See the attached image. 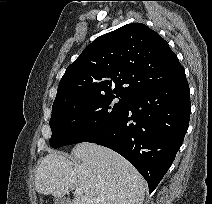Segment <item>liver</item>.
I'll return each instance as SVG.
<instances>
[{"label": "liver", "instance_id": "6515ba94", "mask_svg": "<svg viewBox=\"0 0 212 204\" xmlns=\"http://www.w3.org/2000/svg\"><path fill=\"white\" fill-rule=\"evenodd\" d=\"M79 159L74 163L51 152L46 155L35 175L39 194L63 197L70 187L83 190L72 204H142L145 181L121 155L106 147L81 143L72 149Z\"/></svg>", "mask_w": 212, "mask_h": 204}]
</instances>
